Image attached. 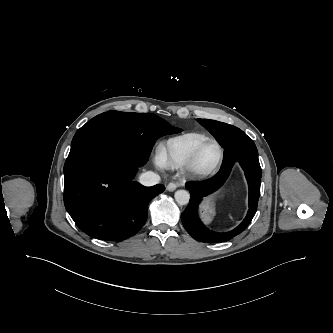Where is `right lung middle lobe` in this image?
Wrapping results in <instances>:
<instances>
[{"label": "right lung middle lobe", "mask_w": 333, "mask_h": 333, "mask_svg": "<svg viewBox=\"0 0 333 333\" xmlns=\"http://www.w3.org/2000/svg\"><path fill=\"white\" fill-rule=\"evenodd\" d=\"M181 132L165 120L151 113L109 111L102 113L75 134L72 144L91 135L113 139L136 152L149 157L156 140L166 134Z\"/></svg>", "instance_id": "1"}]
</instances>
